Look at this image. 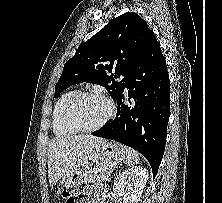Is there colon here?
<instances>
[{
  "label": "colon",
  "instance_id": "5ec220e1",
  "mask_svg": "<svg viewBox=\"0 0 222 203\" xmlns=\"http://www.w3.org/2000/svg\"><path fill=\"white\" fill-rule=\"evenodd\" d=\"M65 198H66V203H74V197L72 194L66 193Z\"/></svg>",
  "mask_w": 222,
  "mask_h": 203
}]
</instances>
